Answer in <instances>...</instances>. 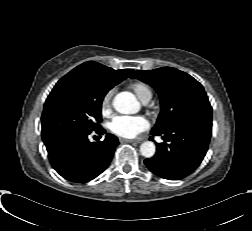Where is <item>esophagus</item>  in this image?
Returning a JSON list of instances; mask_svg holds the SVG:
<instances>
[{
	"label": "esophagus",
	"instance_id": "1",
	"mask_svg": "<svg viewBox=\"0 0 252 231\" xmlns=\"http://www.w3.org/2000/svg\"><path fill=\"white\" fill-rule=\"evenodd\" d=\"M119 141L121 143H135L133 140L125 139V138H120Z\"/></svg>",
	"mask_w": 252,
	"mask_h": 231
}]
</instances>
